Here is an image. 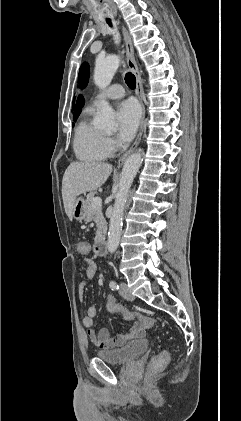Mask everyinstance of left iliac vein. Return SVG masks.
I'll use <instances>...</instances> for the list:
<instances>
[{"label": "left iliac vein", "mask_w": 241, "mask_h": 421, "mask_svg": "<svg viewBox=\"0 0 241 421\" xmlns=\"http://www.w3.org/2000/svg\"><path fill=\"white\" fill-rule=\"evenodd\" d=\"M119 293L126 300L132 301L135 299L130 289L128 288L127 284L124 282L120 283Z\"/></svg>", "instance_id": "obj_1"}]
</instances>
